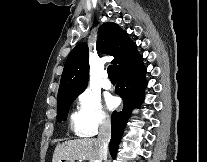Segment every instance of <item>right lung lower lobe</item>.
Wrapping results in <instances>:
<instances>
[{
    "label": "right lung lower lobe",
    "mask_w": 207,
    "mask_h": 162,
    "mask_svg": "<svg viewBox=\"0 0 207 162\" xmlns=\"http://www.w3.org/2000/svg\"><path fill=\"white\" fill-rule=\"evenodd\" d=\"M146 68L143 57L136 59L116 71V93L123 99L124 107L120 112H113L111 117L112 137L109 144L111 156L115 158L118 145L124 131L128 117L133 108L139 106L144 99Z\"/></svg>",
    "instance_id": "right-lung-lower-lobe-1"
}]
</instances>
